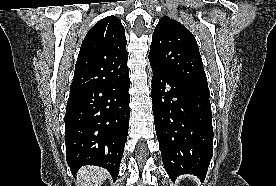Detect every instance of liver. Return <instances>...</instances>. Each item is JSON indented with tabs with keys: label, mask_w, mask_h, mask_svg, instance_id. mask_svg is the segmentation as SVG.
<instances>
[{
	"label": "liver",
	"mask_w": 276,
	"mask_h": 186,
	"mask_svg": "<svg viewBox=\"0 0 276 186\" xmlns=\"http://www.w3.org/2000/svg\"><path fill=\"white\" fill-rule=\"evenodd\" d=\"M107 176L108 173L100 167H86L79 173L78 186H101Z\"/></svg>",
	"instance_id": "liver-1"
}]
</instances>
